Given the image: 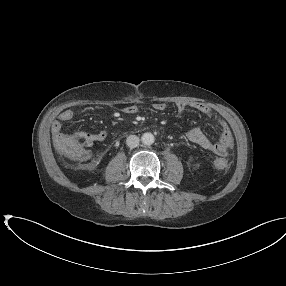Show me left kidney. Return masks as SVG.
<instances>
[{
	"mask_svg": "<svg viewBox=\"0 0 286 286\" xmlns=\"http://www.w3.org/2000/svg\"><path fill=\"white\" fill-rule=\"evenodd\" d=\"M189 160H190V161H192V160H193V158H192V157H190V158H189Z\"/></svg>",
	"mask_w": 286,
	"mask_h": 286,
	"instance_id": "left-kidney-1",
	"label": "left kidney"
}]
</instances>
